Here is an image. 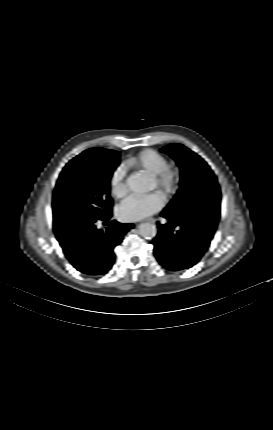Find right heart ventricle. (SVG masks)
<instances>
[{
    "mask_svg": "<svg viewBox=\"0 0 273 430\" xmlns=\"http://www.w3.org/2000/svg\"><path fill=\"white\" fill-rule=\"evenodd\" d=\"M126 164L138 170H142L151 176H155L164 168L169 166L167 158L163 154L153 149H145L140 151L134 157L129 158Z\"/></svg>",
    "mask_w": 273,
    "mask_h": 430,
    "instance_id": "obj_1",
    "label": "right heart ventricle"
}]
</instances>
